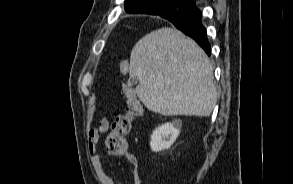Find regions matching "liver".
I'll return each mask as SVG.
<instances>
[{
  "instance_id": "obj_1",
  "label": "liver",
  "mask_w": 293,
  "mask_h": 184,
  "mask_svg": "<svg viewBox=\"0 0 293 184\" xmlns=\"http://www.w3.org/2000/svg\"><path fill=\"white\" fill-rule=\"evenodd\" d=\"M130 77L144 106L164 116L211 114L217 98L213 67L205 52L181 31L164 27L132 49Z\"/></svg>"
}]
</instances>
